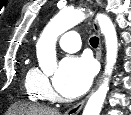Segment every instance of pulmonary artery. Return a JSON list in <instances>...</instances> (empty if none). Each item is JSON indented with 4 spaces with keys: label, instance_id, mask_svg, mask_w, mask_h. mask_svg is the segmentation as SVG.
I'll use <instances>...</instances> for the list:
<instances>
[{
    "label": "pulmonary artery",
    "instance_id": "e3ab8cb5",
    "mask_svg": "<svg viewBox=\"0 0 131 115\" xmlns=\"http://www.w3.org/2000/svg\"><path fill=\"white\" fill-rule=\"evenodd\" d=\"M60 47L67 52L79 50L81 45L80 36L75 31H68L62 34L58 40Z\"/></svg>",
    "mask_w": 131,
    "mask_h": 115
}]
</instances>
